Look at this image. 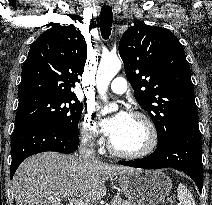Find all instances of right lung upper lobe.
Returning a JSON list of instances; mask_svg holds the SVG:
<instances>
[{
  "instance_id": "cb5924a9",
  "label": "right lung upper lobe",
  "mask_w": 212,
  "mask_h": 205,
  "mask_svg": "<svg viewBox=\"0 0 212 205\" xmlns=\"http://www.w3.org/2000/svg\"><path fill=\"white\" fill-rule=\"evenodd\" d=\"M86 59V41L73 25L44 32L30 46L19 99L40 94L77 98L71 88L80 81Z\"/></svg>"
}]
</instances>
